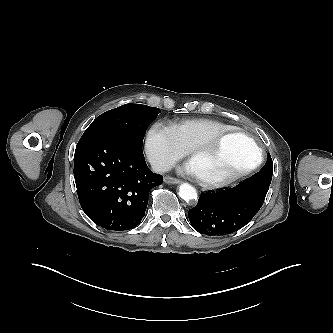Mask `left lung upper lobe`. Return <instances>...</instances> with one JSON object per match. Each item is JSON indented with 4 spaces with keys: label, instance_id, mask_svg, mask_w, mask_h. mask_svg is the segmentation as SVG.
I'll list each match as a JSON object with an SVG mask.
<instances>
[{
    "label": "left lung upper lobe",
    "instance_id": "obj_1",
    "mask_svg": "<svg viewBox=\"0 0 333 333\" xmlns=\"http://www.w3.org/2000/svg\"><path fill=\"white\" fill-rule=\"evenodd\" d=\"M272 172H273V162H272L270 154L268 153V159H267L265 166L256 174H259V173H271L272 174Z\"/></svg>",
    "mask_w": 333,
    "mask_h": 333
}]
</instances>
